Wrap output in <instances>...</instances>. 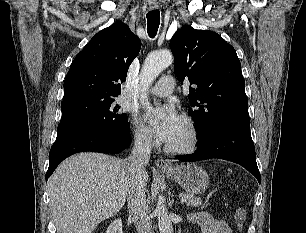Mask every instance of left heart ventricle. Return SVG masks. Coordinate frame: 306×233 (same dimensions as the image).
<instances>
[{"label":"left heart ventricle","mask_w":306,"mask_h":233,"mask_svg":"<svg viewBox=\"0 0 306 233\" xmlns=\"http://www.w3.org/2000/svg\"><path fill=\"white\" fill-rule=\"evenodd\" d=\"M189 139H190V133L188 127L186 123L182 121L177 132L172 137V139L169 142H167V144L172 147H180L186 145L189 142Z\"/></svg>","instance_id":"obj_1"}]
</instances>
